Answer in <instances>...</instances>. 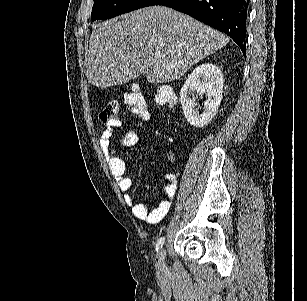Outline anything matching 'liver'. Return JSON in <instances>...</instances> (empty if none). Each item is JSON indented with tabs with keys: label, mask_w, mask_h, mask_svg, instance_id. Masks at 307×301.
<instances>
[{
	"label": "liver",
	"mask_w": 307,
	"mask_h": 301,
	"mask_svg": "<svg viewBox=\"0 0 307 301\" xmlns=\"http://www.w3.org/2000/svg\"><path fill=\"white\" fill-rule=\"evenodd\" d=\"M229 40L188 14L168 6H145L93 28L87 78L99 88L125 84L140 74L152 84L172 82Z\"/></svg>",
	"instance_id": "1"
}]
</instances>
